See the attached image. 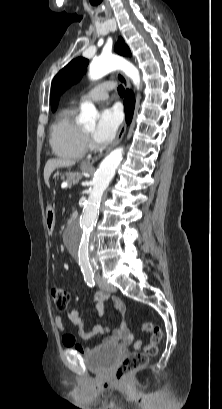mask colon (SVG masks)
Returning <instances> with one entry per match:
<instances>
[{
  "mask_svg": "<svg viewBox=\"0 0 222 409\" xmlns=\"http://www.w3.org/2000/svg\"><path fill=\"white\" fill-rule=\"evenodd\" d=\"M52 298L58 310H65L69 303V293L62 287L54 286L51 289ZM144 333H152L151 340L142 351L134 352L128 355L118 366L115 373V380L119 383L127 381L129 375L145 366L150 357L158 352V344L162 339V330L160 326L151 323H143L140 327ZM67 336L63 338L65 341Z\"/></svg>",
  "mask_w": 222,
  "mask_h": 409,
  "instance_id": "colon-1",
  "label": "colon"
}]
</instances>
